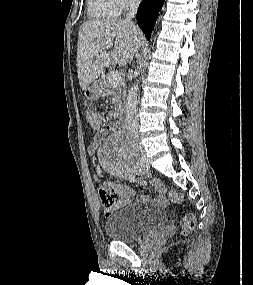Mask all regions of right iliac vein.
<instances>
[{
  "mask_svg": "<svg viewBox=\"0 0 253 285\" xmlns=\"http://www.w3.org/2000/svg\"><path fill=\"white\" fill-rule=\"evenodd\" d=\"M140 171L145 172L149 168V162L144 155H141L138 161Z\"/></svg>",
  "mask_w": 253,
  "mask_h": 285,
  "instance_id": "right-iliac-vein-1",
  "label": "right iliac vein"
}]
</instances>
